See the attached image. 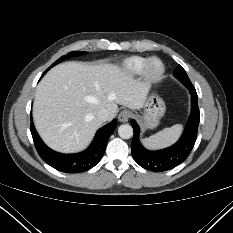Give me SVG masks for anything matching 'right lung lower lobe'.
Masks as SVG:
<instances>
[{
	"instance_id": "obj_1",
	"label": "right lung lower lobe",
	"mask_w": 233,
	"mask_h": 233,
	"mask_svg": "<svg viewBox=\"0 0 233 233\" xmlns=\"http://www.w3.org/2000/svg\"><path fill=\"white\" fill-rule=\"evenodd\" d=\"M116 126L117 120L114 119L99 129L89 148L77 154H61L51 150L39 137L33 121H31V134L38 154L47 164L65 173H79L98 164L105 152L107 141Z\"/></svg>"
}]
</instances>
